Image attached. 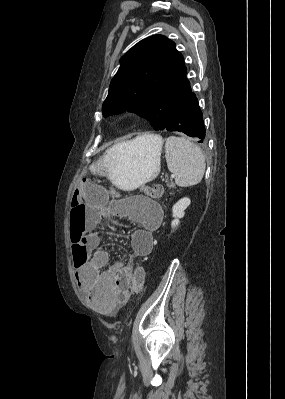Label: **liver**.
<instances>
[{
	"instance_id": "1",
	"label": "liver",
	"mask_w": 285,
	"mask_h": 399,
	"mask_svg": "<svg viewBox=\"0 0 285 399\" xmlns=\"http://www.w3.org/2000/svg\"><path fill=\"white\" fill-rule=\"evenodd\" d=\"M146 135L140 136V137H145Z\"/></svg>"
}]
</instances>
